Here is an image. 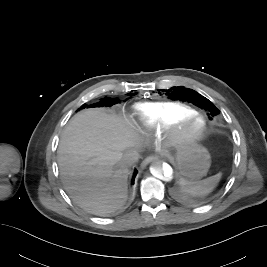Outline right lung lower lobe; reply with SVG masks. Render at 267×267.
Masks as SVG:
<instances>
[{
  "mask_svg": "<svg viewBox=\"0 0 267 267\" xmlns=\"http://www.w3.org/2000/svg\"><path fill=\"white\" fill-rule=\"evenodd\" d=\"M137 173H138V171L135 170V171H134V174H133V177H132V184L134 183V178H135V176H136Z\"/></svg>",
  "mask_w": 267,
  "mask_h": 267,
  "instance_id": "obj_1",
  "label": "right lung lower lobe"
}]
</instances>
